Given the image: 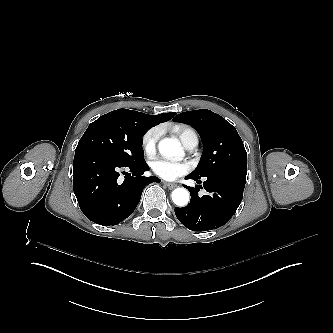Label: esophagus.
<instances>
[{
    "label": "esophagus",
    "mask_w": 333,
    "mask_h": 333,
    "mask_svg": "<svg viewBox=\"0 0 333 333\" xmlns=\"http://www.w3.org/2000/svg\"><path fill=\"white\" fill-rule=\"evenodd\" d=\"M165 184H166V186L168 187L169 190H173L177 186L175 183L166 182Z\"/></svg>",
    "instance_id": "1"
}]
</instances>
